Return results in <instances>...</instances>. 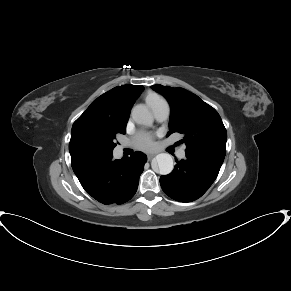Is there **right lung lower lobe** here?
I'll return each mask as SVG.
<instances>
[{
    "instance_id": "obj_1",
    "label": "right lung lower lobe",
    "mask_w": 291,
    "mask_h": 291,
    "mask_svg": "<svg viewBox=\"0 0 291 291\" xmlns=\"http://www.w3.org/2000/svg\"><path fill=\"white\" fill-rule=\"evenodd\" d=\"M112 158V153L80 156L72 159L71 165L82 187L93 198L103 204H122L136 193L147 157L135 152L121 160Z\"/></svg>"
}]
</instances>
